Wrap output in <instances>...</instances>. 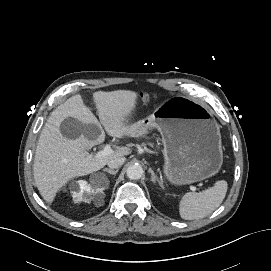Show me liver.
I'll list each match as a JSON object with an SVG mask.
<instances>
[{
  "instance_id": "1",
  "label": "liver",
  "mask_w": 271,
  "mask_h": 271,
  "mask_svg": "<svg viewBox=\"0 0 271 271\" xmlns=\"http://www.w3.org/2000/svg\"><path fill=\"white\" fill-rule=\"evenodd\" d=\"M136 98L135 92L125 90L93 94L100 122L110 136H130L132 129L128 122L135 109ZM66 118H74L84 125H98L80 95L69 98L51 113L39 136L33 165L36 186L50 204L60 188L72 178L96 172L110 159L131 153L129 148L117 147L110 155L101 158L89 154L87 150L103 142V134L96 140H89L84 135L75 140L67 139L60 131Z\"/></svg>"
}]
</instances>
